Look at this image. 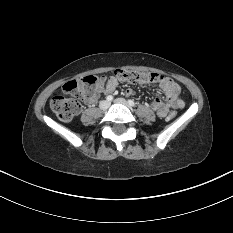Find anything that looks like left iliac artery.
Returning a JSON list of instances; mask_svg holds the SVG:
<instances>
[{
  "label": "left iliac artery",
  "mask_w": 233,
  "mask_h": 233,
  "mask_svg": "<svg viewBox=\"0 0 233 233\" xmlns=\"http://www.w3.org/2000/svg\"><path fill=\"white\" fill-rule=\"evenodd\" d=\"M128 104L130 105V106H135V103H134V101L133 100H128Z\"/></svg>",
  "instance_id": "left-iliac-artery-1"
}]
</instances>
